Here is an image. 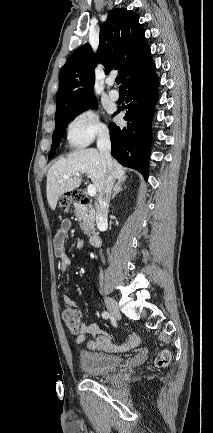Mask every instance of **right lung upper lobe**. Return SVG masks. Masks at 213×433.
<instances>
[{
	"instance_id": "right-lung-upper-lobe-1",
	"label": "right lung upper lobe",
	"mask_w": 213,
	"mask_h": 433,
	"mask_svg": "<svg viewBox=\"0 0 213 433\" xmlns=\"http://www.w3.org/2000/svg\"><path fill=\"white\" fill-rule=\"evenodd\" d=\"M139 16L125 8L110 11L100 27V42L95 55L86 43L78 48L63 66L56 96L55 118L64 111L95 99L94 69L102 63L106 74L119 70L124 84L151 59L145 30L138 22Z\"/></svg>"
}]
</instances>
